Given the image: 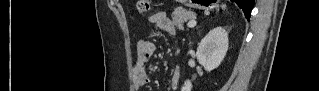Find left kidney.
Listing matches in <instances>:
<instances>
[{
	"label": "left kidney",
	"instance_id": "5707ae66",
	"mask_svg": "<svg viewBox=\"0 0 319 91\" xmlns=\"http://www.w3.org/2000/svg\"><path fill=\"white\" fill-rule=\"evenodd\" d=\"M228 33L222 27H216L201 40L196 56L199 63L210 72L217 68L223 61L228 50ZM192 83L185 81L182 91H191Z\"/></svg>",
	"mask_w": 319,
	"mask_h": 91
}]
</instances>
